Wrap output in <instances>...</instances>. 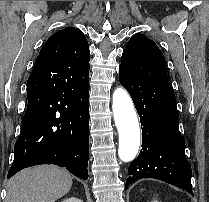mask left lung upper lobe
Returning <instances> with one entry per match:
<instances>
[{
	"instance_id": "left-lung-upper-lobe-1",
	"label": "left lung upper lobe",
	"mask_w": 209,
	"mask_h": 202,
	"mask_svg": "<svg viewBox=\"0 0 209 202\" xmlns=\"http://www.w3.org/2000/svg\"><path fill=\"white\" fill-rule=\"evenodd\" d=\"M119 68L168 86L167 69L162 52L154 41L142 34H135L129 40L123 51Z\"/></svg>"
}]
</instances>
